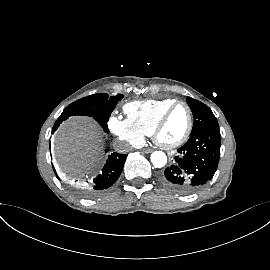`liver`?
<instances>
[{
    "label": "liver",
    "mask_w": 270,
    "mask_h": 270,
    "mask_svg": "<svg viewBox=\"0 0 270 270\" xmlns=\"http://www.w3.org/2000/svg\"><path fill=\"white\" fill-rule=\"evenodd\" d=\"M53 149L56 163L64 169L81 172L93 167L101 155V131L91 118L72 117L60 126Z\"/></svg>",
    "instance_id": "1"
}]
</instances>
